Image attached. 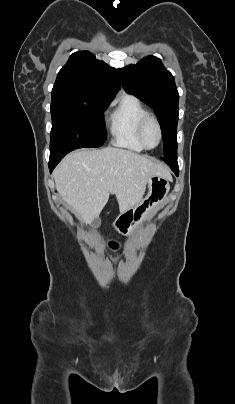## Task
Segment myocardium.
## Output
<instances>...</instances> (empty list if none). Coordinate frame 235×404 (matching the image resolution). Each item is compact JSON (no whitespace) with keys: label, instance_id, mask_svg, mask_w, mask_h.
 Listing matches in <instances>:
<instances>
[{"label":"myocardium","instance_id":"obj_1","mask_svg":"<svg viewBox=\"0 0 235 404\" xmlns=\"http://www.w3.org/2000/svg\"><path fill=\"white\" fill-rule=\"evenodd\" d=\"M149 122H153V123L156 125V127H157V131H158V141H157V144H156L155 146H149V145H147V143L145 142V139H144V130H145L146 125H147ZM137 136H138V139H139L140 143L142 144V146H143L145 149L151 150V149H155L156 147H158L159 144H160L161 141H162V127H161V124H160L159 120H158L154 115H152V114H147L146 116H144V117L140 120V122H139V124H138Z\"/></svg>","mask_w":235,"mask_h":404}]
</instances>
